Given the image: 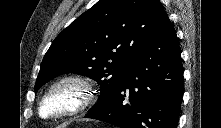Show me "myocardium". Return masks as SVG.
Segmentation results:
<instances>
[{"mask_svg":"<svg viewBox=\"0 0 221 128\" xmlns=\"http://www.w3.org/2000/svg\"><path fill=\"white\" fill-rule=\"evenodd\" d=\"M94 97V86L89 78L68 74L48 87L39 101L37 113L44 120L74 115L85 109Z\"/></svg>","mask_w":221,"mask_h":128,"instance_id":"myocardium-1","label":"myocardium"}]
</instances>
